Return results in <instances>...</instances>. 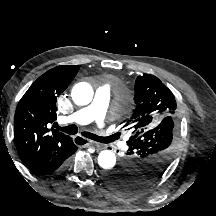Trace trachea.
Here are the masks:
<instances>
[{
	"label": "trachea",
	"mask_w": 216,
	"mask_h": 216,
	"mask_svg": "<svg viewBox=\"0 0 216 216\" xmlns=\"http://www.w3.org/2000/svg\"><path fill=\"white\" fill-rule=\"evenodd\" d=\"M54 127L67 133V134H69V135H74V134H77V132H78V128L76 125H69L67 127H60L57 123H55ZM81 134L86 138H89L91 140L101 142V143H110V142L115 140V137H113V136L101 137V136H97L95 134H92V133L86 132V131L82 132ZM76 143L79 145L83 144V143H79V142H76Z\"/></svg>",
	"instance_id": "3493384b"
}]
</instances>
